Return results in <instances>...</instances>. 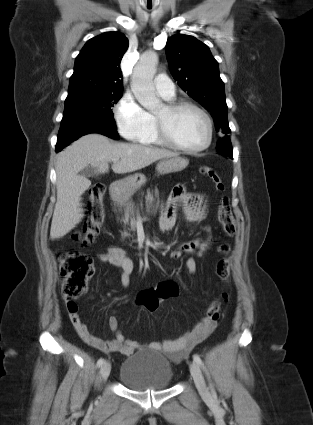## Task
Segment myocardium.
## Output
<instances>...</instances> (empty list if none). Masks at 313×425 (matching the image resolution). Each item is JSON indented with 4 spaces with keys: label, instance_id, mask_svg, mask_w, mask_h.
<instances>
[{
    "label": "myocardium",
    "instance_id": "myocardium-1",
    "mask_svg": "<svg viewBox=\"0 0 313 425\" xmlns=\"http://www.w3.org/2000/svg\"><path fill=\"white\" fill-rule=\"evenodd\" d=\"M165 110L170 119L184 110H195L203 116L207 124V139L203 145L197 148H187L180 144L172 135L168 121L155 117V128L159 140L166 146L186 154H197L210 147L213 141L214 125L210 115L202 107L191 102H170L165 105Z\"/></svg>",
    "mask_w": 313,
    "mask_h": 425
}]
</instances>
